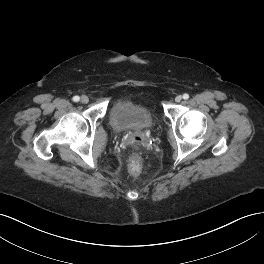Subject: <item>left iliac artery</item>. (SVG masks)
<instances>
[{
  "mask_svg": "<svg viewBox=\"0 0 264 264\" xmlns=\"http://www.w3.org/2000/svg\"><path fill=\"white\" fill-rule=\"evenodd\" d=\"M183 98H184L185 100H187V99L189 98V95H188L187 93H185V94L183 95Z\"/></svg>",
  "mask_w": 264,
  "mask_h": 264,
  "instance_id": "44dca946",
  "label": "left iliac artery"
}]
</instances>
